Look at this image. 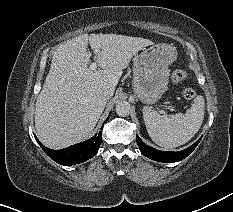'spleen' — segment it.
Segmentation results:
<instances>
[{"label":"spleen","instance_id":"spleen-1","mask_svg":"<svg viewBox=\"0 0 233 212\" xmlns=\"http://www.w3.org/2000/svg\"><path fill=\"white\" fill-rule=\"evenodd\" d=\"M205 110V100L199 95L185 114L164 118L152 107H143V119L150 138L159 146L175 148L187 143L199 131Z\"/></svg>","mask_w":233,"mask_h":212}]
</instances>
